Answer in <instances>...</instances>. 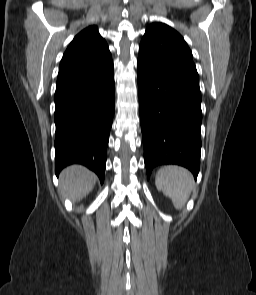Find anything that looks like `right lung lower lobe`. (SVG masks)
<instances>
[{"label": "right lung lower lobe", "mask_w": 256, "mask_h": 295, "mask_svg": "<svg viewBox=\"0 0 256 295\" xmlns=\"http://www.w3.org/2000/svg\"><path fill=\"white\" fill-rule=\"evenodd\" d=\"M55 172L83 164L104 181L115 105L113 62L57 79Z\"/></svg>", "instance_id": "98d812e1"}]
</instances>
